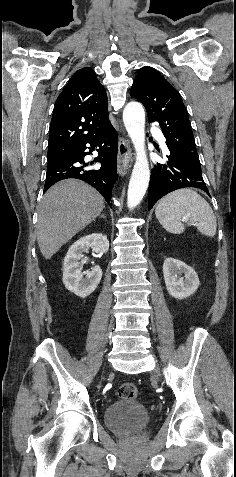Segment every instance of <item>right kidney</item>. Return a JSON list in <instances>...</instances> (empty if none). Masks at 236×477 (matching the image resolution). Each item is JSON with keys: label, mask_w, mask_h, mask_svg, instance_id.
<instances>
[{"label": "right kidney", "mask_w": 236, "mask_h": 477, "mask_svg": "<svg viewBox=\"0 0 236 477\" xmlns=\"http://www.w3.org/2000/svg\"><path fill=\"white\" fill-rule=\"evenodd\" d=\"M89 247L97 254H104L109 249V241L103 234L95 233L82 237L70 246L63 262L65 287L82 298L94 292L102 278V269L99 266H95L91 271L83 272L81 270L83 253Z\"/></svg>", "instance_id": "1"}]
</instances>
